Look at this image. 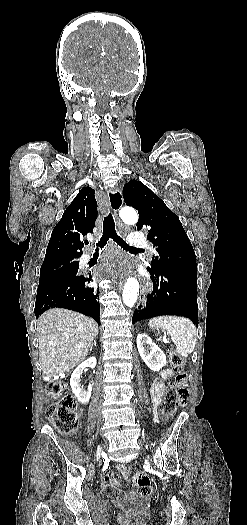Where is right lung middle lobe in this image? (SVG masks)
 Returning <instances> with one entry per match:
<instances>
[{
    "label": "right lung middle lobe",
    "instance_id": "dd1d6c3e",
    "mask_svg": "<svg viewBox=\"0 0 247 525\" xmlns=\"http://www.w3.org/2000/svg\"><path fill=\"white\" fill-rule=\"evenodd\" d=\"M76 259L60 260L40 270L39 284L57 277L76 275L79 268V262Z\"/></svg>",
    "mask_w": 247,
    "mask_h": 525
}]
</instances>
